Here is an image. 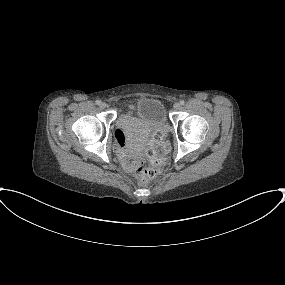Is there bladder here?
I'll return each instance as SVG.
<instances>
[{
  "instance_id": "bladder-1",
  "label": "bladder",
  "mask_w": 285,
  "mask_h": 285,
  "mask_svg": "<svg viewBox=\"0 0 285 285\" xmlns=\"http://www.w3.org/2000/svg\"><path fill=\"white\" fill-rule=\"evenodd\" d=\"M165 123L166 114L162 102L155 98H140L136 102L134 114H121L115 118V127L120 132L116 139L135 151L141 149L151 138L152 127H161ZM162 140V135L155 138L156 143H161Z\"/></svg>"
}]
</instances>
